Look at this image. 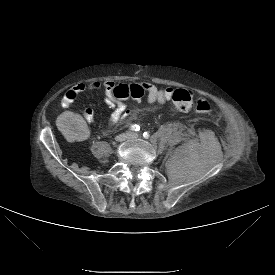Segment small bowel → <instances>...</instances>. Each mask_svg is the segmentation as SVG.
<instances>
[{
    "mask_svg": "<svg viewBox=\"0 0 275 275\" xmlns=\"http://www.w3.org/2000/svg\"><path fill=\"white\" fill-rule=\"evenodd\" d=\"M118 86L128 87V85H117L113 81H93L76 84L65 92L62 98V105L68 107L80 94L87 91L103 90L104 103L112 111L107 123L108 128L111 129L118 123L126 120L131 113L123 100L114 95V90ZM139 86L145 91L147 101L150 105H163L170 101L173 95V89L170 87L160 88L151 83H141ZM94 114L93 108L87 107L83 111V118L75 111H66L59 115L57 119L59 124L58 129L65 141L75 144L82 143L89 134L86 122H92Z\"/></svg>",
    "mask_w": 275,
    "mask_h": 275,
    "instance_id": "obj_1",
    "label": "small bowel"
}]
</instances>
